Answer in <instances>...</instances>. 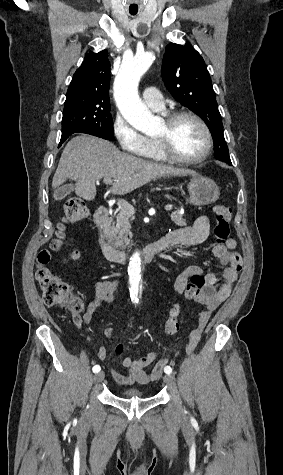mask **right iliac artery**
<instances>
[{
	"mask_svg": "<svg viewBox=\"0 0 283 475\" xmlns=\"http://www.w3.org/2000/svg\"><path fill=\"white\" fill-rule=\"evenodd\" d=\"M92 370H93L94 373H98V372L101 370V368H100L99 365H95V366L92 368Z\"/></svg>",
	"mask_w": 283,
	"mask_h": 475,
	"instance_id": "right-iliac-artery-1",
	"label": "right iliac artery"
}]
</instances>
